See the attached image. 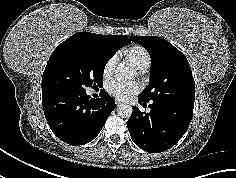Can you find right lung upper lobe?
I'll return each mask as SVG.
<instances>
[{"label":"right lung upper lobe","instance_id":"cb5924a9","mask_svg":"<svg viewBox=\"0 0 236 178\" xmlns=\"http://www.w3.org/2000/svg\"><path fill=\"white\" fill-rule=\"evenodd\" d=\"M130 39L125 35H100L95 33L80 32L72 35L56 47L52 55L59 49L71 44H89L97 46H106L119 50L124 45L130 43ZM51 55V56H52Z\"/></svg>","mask_w":236,"mask_h":178}]
</instances>
